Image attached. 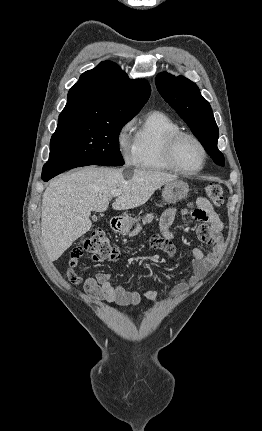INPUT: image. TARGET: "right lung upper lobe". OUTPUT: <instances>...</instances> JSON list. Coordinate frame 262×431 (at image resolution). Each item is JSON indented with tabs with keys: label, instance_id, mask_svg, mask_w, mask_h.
Returning a JSON list of instances; mask_svg holds the SVG:
<instances>
[{
	"label": "right lung upper lobe",
	"instance_id": "cb5924a9",
	"mask_svg": "<svg viewBox=\"0 0 262 431\" xmlns=\"http://www.w3.org/2000/svg\"><path fill=\"white\" fill-rule=\"evenodd\" d=\"M144 79L131 80L111 61L86 71L69 90L58 125L80 120L109 121L133 118L150 96Z\"/></svg>",
	"mask_w": 262,
	"mask_h": 431
}]
</instances>
